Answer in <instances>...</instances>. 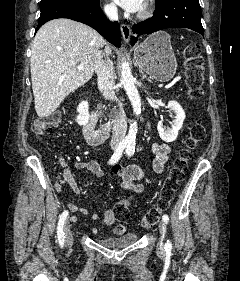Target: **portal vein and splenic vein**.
I'll list each match as a JSON object with an SVG mask.
<instances>
[{"mask_svg":"<svg viewBox=\"0 0 240 281\" xmlns=\"http://www.w3.org/2000/svg\"><path fill=\"white\" fill-rule=\"evenodd\" d=\"M77 69H78V70H83V66H82V65H79V66L77 67ZM180 79H181L180 76L174 78V79H173L169 84H167L164 88H165V89L171 88V87H172L176 82H178Z\"/></svg>","mask_w":240,"mask_h":281,"instance_id":"1","label":"portal vein and splenic vein"}]
</instances>
